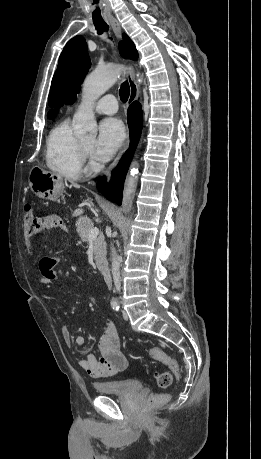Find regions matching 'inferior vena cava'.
I'll return each mask as SVG.
<instances>
[{"label":"inferior vena cava","mask_w":261,"mask_h":459,"mask_svg":"<svg viewBox=\"0 0 261 459\" xmlns=\"http://www.w3.org/2000/svg\"><path fill=\"white\" fill-rule=\"evenodd\" d=\"M120 257L116 254L115 249L112 248V275L116 291H120Z\"/></svg>","instance_id":"inferior-vena-cava-1"}]
</instances>
